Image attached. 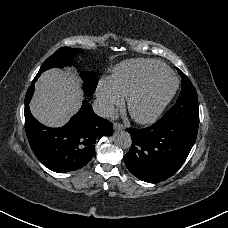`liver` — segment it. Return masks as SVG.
I'll list each match as a JSON object with an SVG mask.
<instances>
[{
	"mask_svg": "<svg viewBox=\"0 0 228 228\" xmlns=\"http://www.w3.org/2000/svg\"><path fill=\"white\" fill-rule=\"evenodd\" d=\"M82 100L77 77L69 70L52 68L43 72L36 82L30 111L41 124L62 127L79 111Z\"/></svg>",
	"mask_w": 228,
	"mask_h": 228,
	"instance_id": "liver-1",
	"label": "liver"
}]
</instances>
